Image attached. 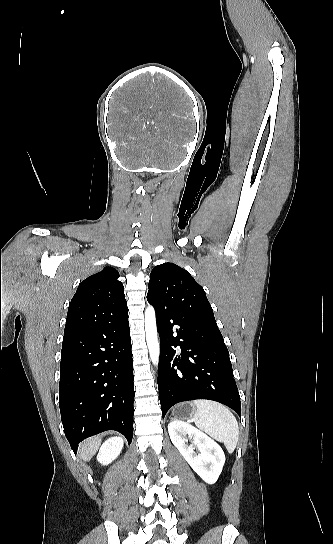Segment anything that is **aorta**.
I'll use <instances>...</instances> for the list:
<instances>
[{"label":"aorta","instance_id":"aorta-1","mask_svg":"<svg viewBox=\"0 0 333 544\" xmlns=\"http://www.w3.org/2000/svg\"><path fill=\"white\" fill-rule=\"evenodd\" d=\"M145 331L150 359L152 364L157 367L160 355V343L157 334L155 311L152 306H148L145 310Z\"/></svg>","mask_w":333,"mask_h":544}]
</instances>
